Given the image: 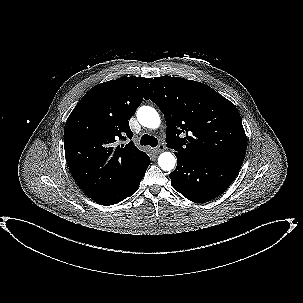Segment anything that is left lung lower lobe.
<instances>
[{
    "label": "left lung lower lobe",
    "mask_w": 303,
    "mask_h": 303,
    "mask_svg": "<svg viewBox=\"0 0 303 303\" xmlns=\"http://www.w3.org/2000/svg\"><path fill=\"white\" fill-rule=\"evenodd\" d=\"M177 167L169 174L174 189L193 202H207L222 194L241 165L225 161H195L175 154Z\"/></svg>",
    "instance_id": "1"
}]
</instances>
